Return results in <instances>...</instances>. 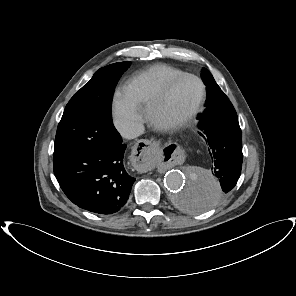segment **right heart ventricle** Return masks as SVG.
I'll use <instances>...</instances> for the list:
<instances>
[{"label":"right heart ventricle","instance_id":"obj_1","mask_svg":"<svg viewBox=\"0 0 296 296\" xmlns=\"http://www.w3.org/2000/svg\"><path fill=\"white\" fill-rule=\"evenodd\" d=\"M185 72L166 64H155L136 75L127 87L131 100L142 109H148L163 88Z\"/></svg>","mask_w":296,"mask_h":296}]
</instances>
